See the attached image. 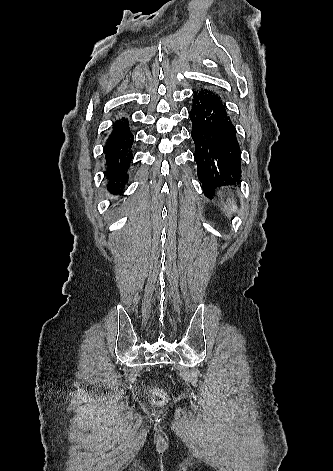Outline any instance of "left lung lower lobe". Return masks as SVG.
Masks as SVG:
<instances>
[{
    "label": "left lung lower lobe",
    "mask_w": 333,
    "mask_h": 471,
    "mask_svg": "<svg viewBox=\"0 0 333 471\" xmlns=\"http://www.w3.org/2000/svg\"><path fill=\"white\" fill-rule=\"evenodd\" d=\"M189 117L198 179L204 194L212 197L216 188L240 181L241 153L236 129L220 97L210 90L195 92Z\"/></svg>",
    "instance_id": "obj_1"
}]
</instances>
